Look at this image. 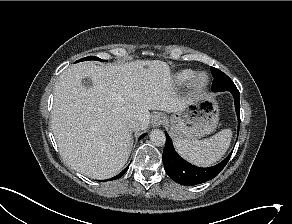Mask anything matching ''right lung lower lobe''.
I'll return each instance as SVG.
<instances>
[{
    "label": "right lung lower lobe",
    "mask_w": 292,
    "mask_h": 224,
    "mask_svg": "<svg viewBox=\"0 0 292 224\" xmlns=\"http://www.w3.org/2000/svg\"><path fill=\"white\" fill-rule=\"evenodd\" d=\"M145 135L146 134L141 135L140 138H139V140L142 139ZM128 168H129V166L127 168H125L122 172H120L117 176L111 178L110 180H114V179L120 178L121 176H123L126 173V171H127Z\"/></svg>",
    "instance_id": "1"
}]
</instances>
